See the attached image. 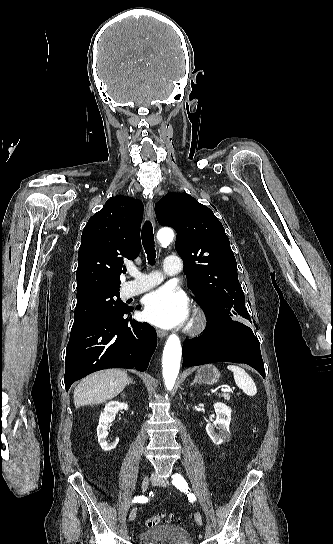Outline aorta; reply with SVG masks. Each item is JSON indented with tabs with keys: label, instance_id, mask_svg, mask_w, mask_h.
Here are the masks:
<instances>
[{
	"label": "aorta",
	"instance_id": "aorta-1",
	"mask_svg": "<svg viewBox=\"0 0 333 544\" xmlns=\"http://www.w3.org/2000/svg\"><path fill=\"white\" fill-rule=\"evenodd\" d=\"M157 238L162 246H168L174 238V233L169 228H163L159 230ZM180 361L181 343L179 337L172 334L169 336L165 344L162 360L164 383L169 391L173 389L178 377Z\"/></svg>",
	"mask_w": 333,
	"mask_h": 544
}]
</instances>
